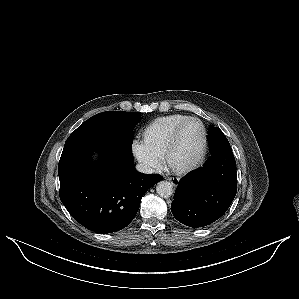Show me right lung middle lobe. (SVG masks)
Masks as SVG:
<instances>
[{"mask_svg":"<svg viewBox=\"0 0 299 299\" xmlns=\"http://www.w3.org/2000/svg\"><path fill=\"white\" fill-rule=\"evenodd\" d=\"M139 119L140 112L106 111L89 118L69 138L111 141L132 149L133 128Z\"/></svg>","mask_w":299,"mask_h":299,"instance_id":"1","label":"right lung middle lobe"}]
</instances>
